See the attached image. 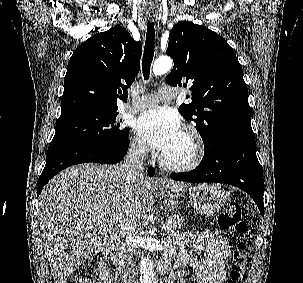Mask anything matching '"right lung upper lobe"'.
I'll use <instances>...</instances> for the list:
<instances>
[{
  "instance_id": "1",
  "label": "right lung upper lobe",
  "mask_w": 303,
  "mask_h": 283,
  "mask_svg": "<svg viewBox=\"0 0 303 283\" xmlns=\"http://www.w3.org/2000/svg\"><path fill=\"white\" fill-rule=\"evenodd\" d=\"M141 52V43L120 26L83 42L68 63L61 116L117 111V99L127 101V87L138 75Z\"/></svg>"
}]
</instances>
